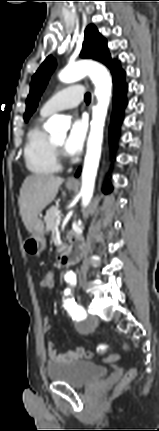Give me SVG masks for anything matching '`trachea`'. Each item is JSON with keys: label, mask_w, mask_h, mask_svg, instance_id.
<instances>
[{"label": "trachea", "mask_w": 159, "mask_h": 431, "mask_svg": "<svg viewBox=\"0 0 159 431\" xmlns=\"http://www.w3.org/2000/svg\"><path fill=\"white\" fill-rule=\"evenodd\" d=\"M85 101H86V103H89L91 101V94L90 93H86Z\"/></svg>", "instance_id": "trachea-1"}]
</instances>
